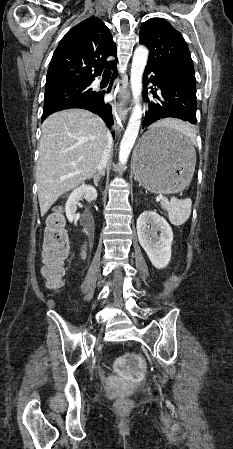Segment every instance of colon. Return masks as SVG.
Here are the masks:
<instances>
[{
  "label": "colon",
  "mask_w": 233,
  "mask_h": 449,
  "mask_svg": "<svg viewBox=\"0 0 233 449\" xmlns=\"http://www.w3.org/2000/svg\"><path fill=\"white\" fill-rule=\"evenodd\" d=\"M69 240L65 231L64 218L60 207H56L54 212L48 217L45 229L43 250V274L50 285L58 289L62 284L63 264L68 256ZM118 408L126 406L125 400L116 403Z\"/></svg>",
  "instance_id": "colon-1"
}]
</instances>
